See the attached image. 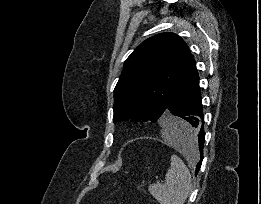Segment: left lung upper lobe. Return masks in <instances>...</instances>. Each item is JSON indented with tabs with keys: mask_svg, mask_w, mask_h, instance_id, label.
<instances>
[{
	"mask_svg": "<svg viewBox=\"0 0 261 204\" xmlns=\"http://www.w3.org/2000/svg\"><path fill=\"white\" fill-rule=\"evenodd\" d=\"M193 62L188 46L174 33L142 42L125 61L114 89L113 121L160 119Z\"/></svg>",
	"mask_w": 261,
	"mask_h": 204,
	"instance_id": "1",
	"label": "left lung upper lobe"
}]
</instances>
